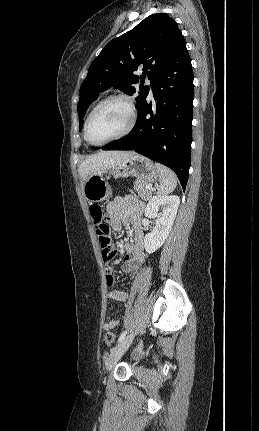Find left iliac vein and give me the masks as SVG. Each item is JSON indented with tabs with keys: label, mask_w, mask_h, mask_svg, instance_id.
Here are the masks:
<instances>
[{
	"label": "left iliac vein",
	"mask_w": 259,
	"mask_h": 431,
	"mask_svg": "<svg viewBox=\"0 0 259 431\" xmlns=\"http://www.w3.org/2000/svg\"><path fill=\"white\" fill-rule=\"evenodd\" d=\"M133 338H134L133 334L128 335L122 341H120L116 347L112 349L105 364L107 370H111L117 364V362L120 360V358L123 356V354L127 351L129 346L131 345Z\"/></svg>",
	"instance_id": "1"
}]
</instances>
